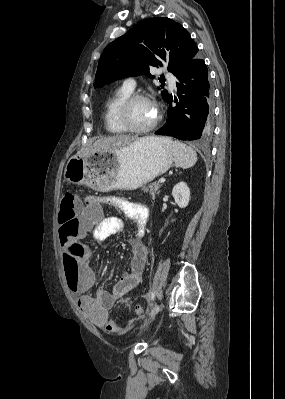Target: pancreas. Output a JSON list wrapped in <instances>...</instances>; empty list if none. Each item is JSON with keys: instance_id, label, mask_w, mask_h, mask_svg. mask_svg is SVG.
<instances>
[{"instance_id": "cf45deb5", "label": "pancreas", "mask_w": 285, "mask_h": 399, "mask_svg": "<svg viewBox=\"0 0 285 399\" xmlns=\"http://www.w3.org/2000/svg\"><path fill=\"white\" fill-rule=\"evenodd\" d=\"M160 186L161 185L159 183H151L148 186H143L142 190L144 192H146V193L149 192L151 197H152V199H154L158 189L160 188Z\"/></svg>"}]
</instances>
